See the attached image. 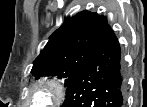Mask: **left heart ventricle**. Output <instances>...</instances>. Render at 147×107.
<instances>
[{
	"instance_id": "left-heart-ventricle-1",
	"label": "left heart ventricle",
	"mask_w": 147,
	"mask_h": 107,
	"mask_svg": "<svg viewBox=\"0 0 147 107\" xmlns=\"http://www.w3.org/2000/svg\"><path fill=\"white\" fill-rule=\"evenodd\" d=\"M38 99L36 100L37 103H40L43 99V95L42 94H39L38 96Z\"/></svg>"
}]
</instances>
